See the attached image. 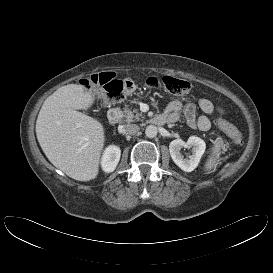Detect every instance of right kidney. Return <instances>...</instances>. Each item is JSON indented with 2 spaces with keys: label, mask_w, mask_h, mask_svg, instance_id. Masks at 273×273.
I'll list each match as a JSON object with an SVG mask.
<instances>
[{
  "label": "right kidney",
  "mask_w": 273,
  "mask_h": 273,
  "mask_svg": "<svg viewBox=\"0 0 273 273\" xmlns=\"http://www.w3.org/2000/svg\"><path fill=\"white\" fill-rule=\"evenodd\" d=\"M120 156L121 150L119 147L113 145L107 147L101 161L102 169L107 173L113 172L119 163Z\"/></svg>",
  "instance_id": "right-kidney-1"
}]
</instances>
